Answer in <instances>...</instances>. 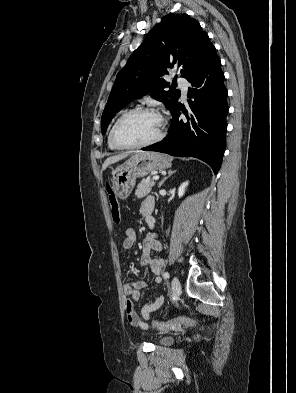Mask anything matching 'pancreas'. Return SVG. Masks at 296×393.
<instances>
[{
	"label": "pancreas",
	"mask_w": 296,
	"mask_h": 393,
	"mask_svg": "<svg viewBox=\"0 0 296 393\" xmlns=\"http://www.w3.org/2000/svg\"><path fill=\"white\" fill-rule=\"evenodd\" d=\"M155 185V182L152 181L151 179L147 178V179H143L137 186V189L135 191V195L137 196V198H143L146 195H148L151 190L152 187Z\"/></svg>",
	"instance_id": "1"
}]
</instances>
